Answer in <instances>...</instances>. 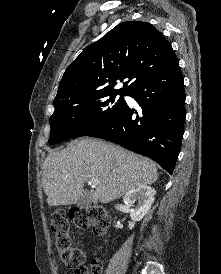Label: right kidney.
<instances>
[{
	"label": "right kidney",
	"instance_id": "obj_1",
	"mask_svg": "<svg viewBox=\"0 0 221 274\" xmlns=\"http://www.w3.org/2000/svg\"><path fill=\"white\" fill-rule=\"evenodd\" d=\"M155 194L156 191L148 185H141L125 194L123 202L129 209L132 220L129 223V229H132L135 223L140 221L147 214L154 202ZM135 201H138V205L136 207H134Z\"/></svg>",
	"mask_w": 221,
	"mask_h": 274
}]
</instances>
